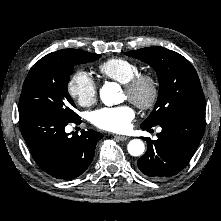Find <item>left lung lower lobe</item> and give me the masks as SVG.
Segmentation results:
<instances>
[{"label":"left lung lower lobe","instance_id":"0a47b994","mask_svg":"<svg viewBox=\"0 0 221 221\" xmlns=\"http://www.w3.org/2000/svg\"><path fill=\"white\" fill-rule=\"evenodd\" d=\"M160 126L162 131L157 134L158 139L146 138L147 151L137 161L145 175L157 180L176 175L188 164L204 133L205 111L178 114Z\"/></svg>","mask_w":221,"mask_h":221}]
</instances>
